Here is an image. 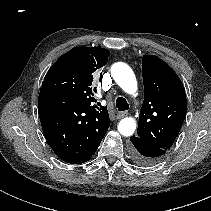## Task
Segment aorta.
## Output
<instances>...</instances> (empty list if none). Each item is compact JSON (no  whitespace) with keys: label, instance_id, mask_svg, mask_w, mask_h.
<instances>
[{"label":"aorta","instance_id":"aorta-1","mask_svg":"<svg viewBox=\"0 0 211 211\" xmlns=\"http://www.w3.org/2000/svg\"><path fill=\"white\" fill-rule=\"evenodd\" d=\"M111 75L115 82L127 93L133 94L137 90V81L132 69L125 63H115L111 67ZM136 129V121L132 117L122 119L118 124V131L123 136H131Z\"/></svg>","mask_w":211,"mask_h":211}]
</instances>
